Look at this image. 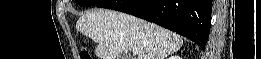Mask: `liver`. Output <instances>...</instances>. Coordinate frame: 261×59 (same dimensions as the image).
<instances>
[{"instance_id":"obj_1","label":"liver","mask_w":261,"mask_h":59,"mask_svg":"<svg viewBox=\"0 0 261 59\" xmlns=\"http://www.w3.org/2000/svg\"><path fill=\"white\" fill-rule=\"evenodd\" d=\"M76 29L97 43L95 55L99 59H119L133 48L138 54L128 59H165L183 45L175 33L114 10H91L78 19Z\"/></svg>"}]
</instances>
